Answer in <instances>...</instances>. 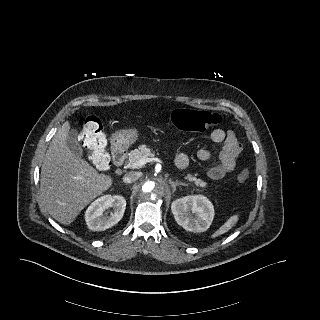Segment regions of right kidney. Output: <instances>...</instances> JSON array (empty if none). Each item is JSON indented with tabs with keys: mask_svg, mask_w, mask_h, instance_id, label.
Masks as SVG:
<instances>
[{
	"mask_svg": "<svg viewBox=\"0 0 320 320\" xmlns=\"http://www.w3.org/2000/svg\"><path fill=\"white\" fill-rule=\"evenodd\" d=\"M126 200L119 195H104L99 197L86 210L85 220L89 229L93 231L106 230L117 224L123 217ZM112 208L108 215L105 211Z\"/></svg>",
	"mask_w": 320,
	"mask_h": 320,
	"instance_id": "obj_1",
	"label": "right kidney"
}]
</instances>
